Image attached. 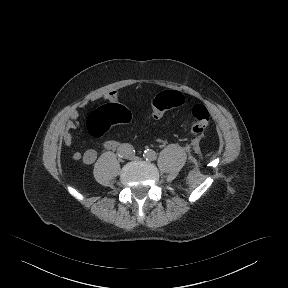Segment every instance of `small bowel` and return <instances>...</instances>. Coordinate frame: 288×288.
Here are the masks:
<instances>
[{"label":"small bowel","mask_w":288,"mask_h":288,"mask_svg":"<svg viewBox=\"0 0 288 288\" xmlns=\"http://www.w3.org/2000/svg\"><path fill=\"white\" fill-rule=\"evenodd\" d=\"M116 145V143L114 141H107L105 143V147L108 149L113 148ZM76 156V159L80 158V152H76L74 154ZM97 159V153L95 150L93 149H89L87 151H85V153L83 154V161L85 164H93L95 162V160Z\"/></svg>","instance_id":"c3829d8e"}]
</instances>
